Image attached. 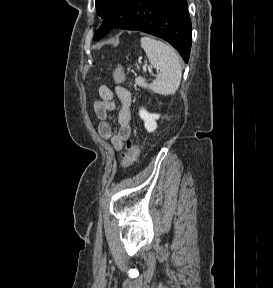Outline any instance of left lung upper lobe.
Segmentation results:
<instances>
[{"label": "left lung upper lobe", "instance_id": "5c2ea615", "mask_svg": "<svg viewBox=\"0 0 273 288\" xmlns=\"http://www.w3.org/2000/svg\"><path fill=\"white\" fill-rule=\"evenodd\" d=\"M133 0H96L97 13L104 18L102 26L95 32L93 40H99L110 30L117 28L120 19L126 14Z\"/></svg>", "mask_w": 273, "mask_h": 288}]
</instances>
